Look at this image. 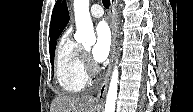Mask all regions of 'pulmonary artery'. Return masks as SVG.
I'll list each match as a JSON object with an SVG mask.
<instances>
[{
    "mask_svg": "<svg viewBox=\"0 0 193 112\" xmlns=\"http://www.w3.org/2000/svg\"><path fill=\"white\" fill-rule=\"evenodd\" d=\"M103 13L102 7L98 4H94L90 9V14L93 18H101Z\"/></svg>",
    "mask_w": 193,
    "mask_h": 112,
    "instance_id": "pulmonary-artery-1",
    "label": "pulmonary artery"
}]
</instances>
